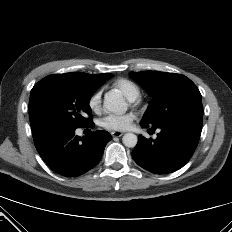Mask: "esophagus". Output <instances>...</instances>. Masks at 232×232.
Here are the masks:
<instances>
[{"mask_svg":"<svg viewBox=\"0 0 232 232\" xmlns=\"http://www.w3.org/2000/svg\"><path fill=\"white\" fill-rule=\"evenodd\" d=\"M112 137H121L123 135L120 131H112L111 132Z\"/></svg>","mask_w":232,"mask_h":232,"instance_id":"obj_1","label":"esophagus"}]
</instances>
